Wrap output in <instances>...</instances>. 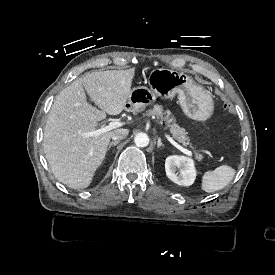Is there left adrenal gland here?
<instances>
[{
	"instance_id": "left-adrenal-gland-1",
	"label": "left adrenal gland",
	"mask_w": 275,
	"mask_h": 275,
	"mask_svg": "<svg viewBox=\"0 0 275 275\" xmlns=\"http://www.w3.org/2000/svg\"><path fill=\"white\" fill-rule=\"evenodd\" d=\"M163 148L164 149V146H163V144H162V142H161V139L160 138H158V141H157V150H159V148Z\"/></svg>"
}]
</instances>
